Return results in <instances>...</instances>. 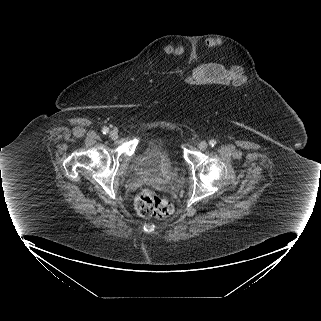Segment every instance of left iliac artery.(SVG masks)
Listing matches in <instances>:
<instances>
[{
    "label": "left iliac artery",
    "instance_id": "obj_1",
    "mask_svg": "<svg viewBox=\"0 0 321 321\" xmlns=\"http://www.w3.org/2000/svg\"><path fill=\"white\" fill-rule=\"evenodd\" d=\"M216 144H217V142H216V140H214V139H211V140L209 141V146H211V147L216 146Z\"/></svg>",
    "mask_w": 321,
    "mask_h": 321
}]
</instances>
